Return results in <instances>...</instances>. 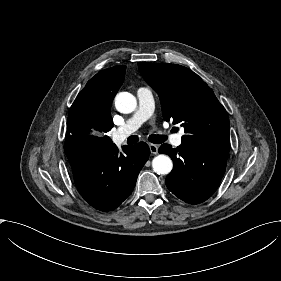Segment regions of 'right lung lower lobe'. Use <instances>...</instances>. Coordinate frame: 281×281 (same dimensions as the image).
<instances>
[{"label":"right lung lower lobe","instance_id":"right-lung-lower-lobe-1","mask_svg":"<svg viewBox=\"0 0 281 281\" xmlns=\"http://www.w3.org/2000/svg\"><path fill=\"white\" fill-rule=\"evenodd\" d=\"M122 149L123 153L112 141L95 137L65 141V153L77 189L100 211L114 210L132 193L150 155L145 142L125 145Z\"/></svg>","mask_w":281,"mask_h":281}]
</instances>
